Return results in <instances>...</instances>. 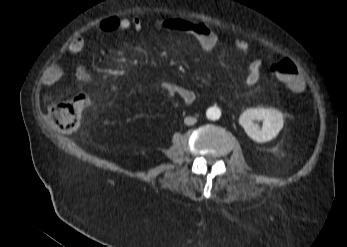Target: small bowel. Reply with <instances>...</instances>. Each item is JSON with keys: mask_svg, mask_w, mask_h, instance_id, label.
I'll return each instance as SVG.
<instances>
[{"mask_svg": "<svg viewBox=\"0 0 347 247\" xmlns=\"http://www.w3.org/2000/svg\"><path fill=\"white\" fill-rule=\"evenodd\" d=\"M160 26L174 32H185L193 36L198 42L199 46L205 51H213L219 44L218 35L216 32L205 22L202 21H188L182 19L168 20ZM144 27V23L137 17L132 18H118L110 17L105 19L99 27L100 32L103 34H112L116 31H139ZM85 46V41L82 36L74 37L68 44V51L77 54L80 53ZM233 47L237 52L245 55L249 50V44L245 39L238 38L233 42ZM262 62L259 59H252L249 63V71L245 77V83L249 86L255 85L259 80V71ZM64 74L62 65L58 62L53 63L47 70L44 76V85L51 88L59 83ZM76 79L80 84L88 82L87 75L80 73L76 75ZM160 89L167 94L177 97L185 104H192L196 99L195 92L183 85L163 81L159 84ZM304 86L298 91H302ZM82 93V92H81ZM80 94V93H79ZM78 94V95H79ZM77 95V96H78ZM77 98V97H76Z\"/></svg>", "mask_w": 347, "mask_h": 247, "instance_id": "1", "label": "small bowel"}]
</instances>
